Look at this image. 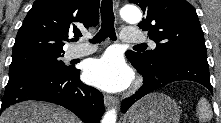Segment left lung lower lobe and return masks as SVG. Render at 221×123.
I'll list each match as a JSON object with an SVG mask.
<instances>
[{"mask_svg":"<svg viewBox=\"0 0 221 123\" xmlns=\"http://www.w3.org/2000/svg\"><path fill=\"white\" fill-rule=\"evenodd\" d=\"M130 61L143 76L144 84L135 94L122 102L121 110L123 113L146 94L174 81H194L202 84L212 92L207 61L186 57L151 66H145L137 61Z\"/></svg>","mask_w":221,"mask_h":123,"instance_id":"0a47b994","label":"left lung lower lobe"}]
</instances>
